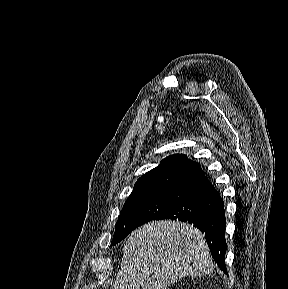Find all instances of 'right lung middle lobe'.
Instances as JSON below:
<instances>
[{"mask_svg": "<svg viewBox=\"0 0 288 289\" xmlns=\"http://www.w3.org/2000/svg\"><path fill=\"white\" fill-rule=\"evenodd\" d=\"M186 191L168 187L133 191L119 215L111 246L120 242L138 226L160 216L181 200Z\"/></svg>", "mask_w": 288, "mask_h": 289, "instance_id": "dd1d6c3e", "label": "right lung middle lobe"}]
</instances>
